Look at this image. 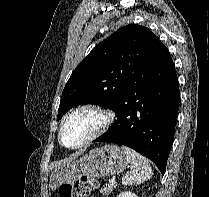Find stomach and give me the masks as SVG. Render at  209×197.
Returning <instances> with one entry per match:
<instances>
[{
    "label": "stomach",
    "instance_id": "stomach-1",
    "mask_svg": "<svg viewBox=\"0 0 209 197\" xmlns=\"http://www.w3.org/2000/svg\"><path fill=\"white\" fill-rule=\"evenodd\" d=\"M127 164L123 150L116 145H105L92 149L78 160L67 162L56 168L50 176V188L73 182L81 176L101 178L122 172Z\"/></svg>",
    "mask_w": 209,
    "mask_h": 197
}]
</instances>
